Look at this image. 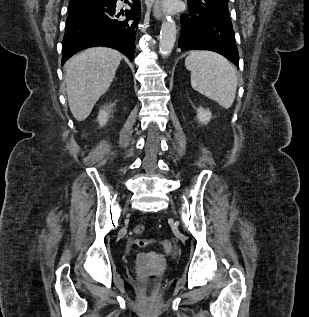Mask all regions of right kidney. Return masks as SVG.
I'll use <instances>...</instances> for the list:
<instances>
[{
  "mask_svg": "<svg viewBox=\"0 0 309 317\" xmlns=\"http://www.w3.org/2000/svg\"><path fill=\"white\" fill-rule=\"evenodd\" d=\"M109 116L110 110H108L107 107H104L102 110L99 111L97 121L101 127L107 123Z\"/></svg>",
  "mask_w": 309,
  "mask_h": 317,
  "instance_id": "1",
  "label": "right kidney"
}]
</instances>
